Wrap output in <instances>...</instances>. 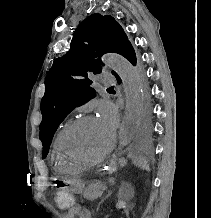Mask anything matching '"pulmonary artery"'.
I'll use <instances>...</instances> for the list:
<instances>
[{"label": "pulmonary artery", "mask_w": 211, "mask_h": 218, "mask_svg": "<svg viewBox=\"0 0 211 218\" xmlns=\"http://www.w3.org/2000/svg\"><path fill=\"white\" fill-rule=\"evenodd\" d=\"M100 79L102 80V84L103 85H117L118 81L117 76L116 75H112V74H101Z\"/></svg>", "instance_id": "e3ab8cb5"}]
</instances>
